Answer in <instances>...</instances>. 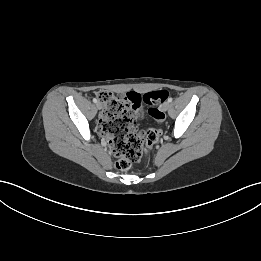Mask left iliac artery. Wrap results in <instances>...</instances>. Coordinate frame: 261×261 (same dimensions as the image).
<instances>
[{
	"instance_id": "1",
	"label": "left iliac artery",
	"mask_w": 261,
	"mask_h": 261,
	"mask_svg": "<svg viewBox=\"0 0 261 261\" xmlns=\"http://www.w3.org/2000/svg\"><path fill=\"white\" fill-rule=\"evenodd\" d=\"M172 100H173V99H172L171 97H170V98H168V102H172Z\"/></svg>"
}]
</instances>
